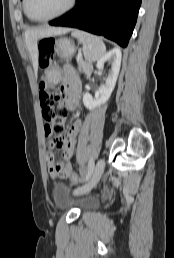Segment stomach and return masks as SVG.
I'll return each instance as SVG.
<instances>
[{
	"mask_svg": "<svg viewBox=\"0 0 174 258\" xmlns=\"http://www.w3.org/2000/svg\"><path fill=\"white\" fill-rule=\"evenodd\" d=\"M55 54L61 59L71 58L75 51L73 41L68 38H60L55 41L54 45ZM39 54V53H38ZM61 80V71L57 63L50 64L45 72V83L48 87L56 85Z\"/></svg>",
	"mask_w": 174,
	"mask_h": 258,
	"instance_id": "0dacf381",
	"label": "stomach"
}]
</instances>
